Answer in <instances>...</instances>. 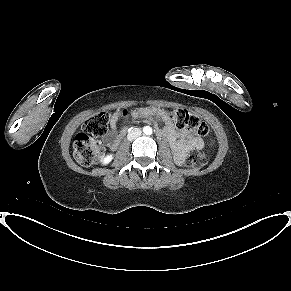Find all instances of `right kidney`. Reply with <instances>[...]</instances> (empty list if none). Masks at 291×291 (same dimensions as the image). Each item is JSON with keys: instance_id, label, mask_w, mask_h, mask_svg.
Returning <instances> with one entry per match:
<instances>
[{"instance_id": "right-kidney-1", "label": "right kidney", "mask_w": 291, "mask_h": 291, "mask_svg": "<svg viewBox=\"0 0 291 291\" xmlns=\"http://www.w3.org/2000/svg\"><path fill=\"white\" fill-rule=\"evenodd\" d=\"M113 159V155H107L105 157H103L102 159V164L106 165L108 163H110Z\"/></svg>"}]
</instances>
